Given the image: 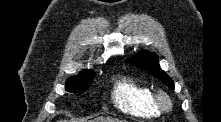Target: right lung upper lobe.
Segmentation results:
<instances>
[{"instance_id": "1", "label": "right lung upper lobe", "mask_w": 221, "mask_h": 122, "mask_svg": "<svg viewBox=\"0 0 221 122\" xmlns=\"http://www.w3.org/2000/svg\"><path fill=\"white\" fill-rule=\"evenodd\" d=\"M93 71L91 70H85V71H82L78 76H82V75H85V74H89V73H92Z\"/></svg>"}]
</instances>
